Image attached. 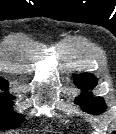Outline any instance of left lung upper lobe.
Instances as JSON below:
<instances>
[{
  "label": "left lung upper lobe",
  "instance_id": "obj_1",
  "mask_svg": "<svg viewBox=\"0 0 116 134\" xmlns=\"http://www.w3.org/2000/svg\"><path fill=\"white\" fill-rule=\"evenodd\" d=\"M75 85L81 90L88 91L97 85V79L93 74L83 73L75 77ZM75 103L88 113L99 115L102 114L107 106L102 97H94L91 93H84L75 99Z\"/></svg>",
  "mask_w": 116,
  "mask_h": 134
}]
</instances>
